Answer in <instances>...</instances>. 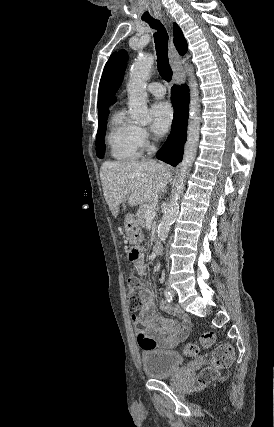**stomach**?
<instances>
[{
	"label": "stomach",
	"instance_id": "1",
	"mask_svg": "<svg viewBox=\"0 0 274 427\" xmlns=\"http://www.w3.org/2000/svg\"><path fill=\"white\" fill-rule=\"evenodd\" d=\"M125 235L129 243H140L143 239L141 227H139L134 215L128 214L124 219Z\"/></svg>",
	"mask_w": 274,
	"mask_h": 427
}]
</instances>
